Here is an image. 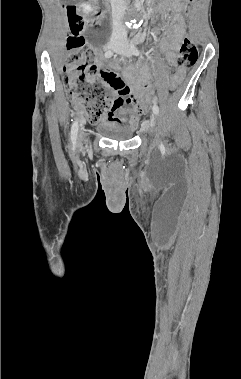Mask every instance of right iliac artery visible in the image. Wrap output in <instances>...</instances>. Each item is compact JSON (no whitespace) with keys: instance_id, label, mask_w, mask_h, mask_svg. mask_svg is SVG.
Here are the masks:
<instances>
[{"instance_id":"obj_1","label":"right iliac artery","mask_w":241,"mask_h":379,"mask_svg":"<svg viewBox=\"0 0 241 379\" xmlns=\"http://www.w3.org/2000/svg\"><path fill=\"white\" fill-rule=\"evenodd\" d=\"M112 55H113V52L111 50H107L105 52V57L106 58H110ZM77 133H78V122L75 121L73 123V125H72V128H71V140H72L73 144L76 143Z\"/></svg>"}]
</instances>
